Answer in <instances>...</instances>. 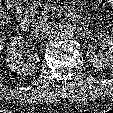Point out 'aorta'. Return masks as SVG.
<instances>
[{
    "label": "aorta",
    "mask_w": 113,
    "mask_h": 113,
    "mask_svg": "<svg viewBox=\"0 0 113 113\" xmlns=\"http://www.w3.org/2000/svg\"><path fill=\"white\" fill-rule=\"evenodd\" d=\"M75 34V27L70 24H63L58 30V37L62 40H68L73 38Z\"/></svg>",
    "instance_id": "aorta-1"
}]
</instances>
